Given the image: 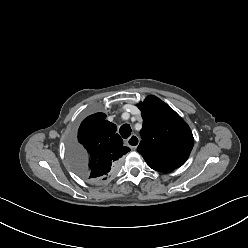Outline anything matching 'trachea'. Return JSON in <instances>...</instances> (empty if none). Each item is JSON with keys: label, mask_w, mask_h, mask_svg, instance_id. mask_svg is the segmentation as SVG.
<instances>
[{"label": "trachea", "mask_w": 248, "mask_h": 248, "mask_svg": "<svg viewBox=\"0 0 248 248\" xmlns=\"http://www.w3.org/2000/svg\"><path fill=\"white\" fill-rule=\"evenodd\" d=\"M119 131L123 138H128L131 135V127L129 124L122 125Z\"/></svg>", "instance_id": "1"}]
</instances>
